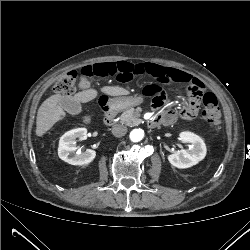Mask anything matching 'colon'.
<instances>
[{"label":"colon","mask_w":250,"mask_h":250,"mask_svg":"<svg viewBox=\"0 0 250 250\" xmlns=\"http://www.w3.org/2000/svg\"><path fill=\"white\" fill-rule=\"evenodd\" d=\"M145 72L147 71L143 65H133L127 62L101 63L88 66L84 69V75L88 77L113 78L122 82L129 81L135 75L142 74ZM54 89L58 93H74L76 90V73L71 71L64 74L63 77L55 83ZM161 90L162 89H155L149 95L153 96V99L157 98L158 93ZM188 90L193 95L196 94L195 90L189 88ZM202 102L203 116L209 123L213 135L218 137L221 132L222 124L218 101L212 93H206L202 95Z\"/></svg>","instance_id":"1"}]
</instances>
